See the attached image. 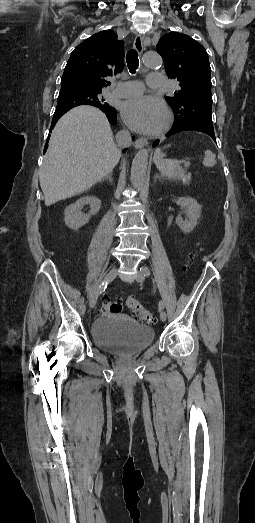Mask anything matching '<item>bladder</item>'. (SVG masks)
I'll return each mask as SVG.
<instances>
[{
    "instance_id": "obj_1",
    "label": "bladder",
    "mask_w": 255,
    "mask_h": 523,
    "mask_svg": "<svg viewBox=\"0 0 255 523\" xmlns=\"http://www.w3.org/2000/svg\"><path fill=\"white\" fill-rule=\"evenodd\" d=\"M91 338L97 347L108 352L136 353L152 344V327L132 320L103 317L91 328Z\"/></svg>"
}]
</instances>
